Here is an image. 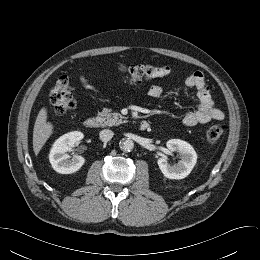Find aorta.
<instances>
[{"label":"aorta","instance_id":"1","mask_svg":"<svg viewBox=\"0 0 260 260\" xmlns=\"http://www.w3.org/2000/svg\"><path fill=\"white\" fill-rule=\"evenodd\" d=\"M119 146L123 151H131L134 148V142L131 139H123L120 141Z\"/></svg>","mask_w":260,"mask_h":260}]
</instances>
